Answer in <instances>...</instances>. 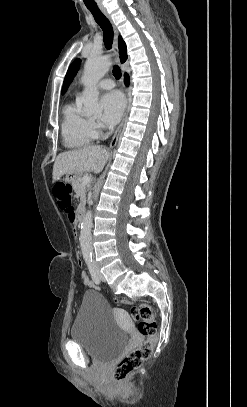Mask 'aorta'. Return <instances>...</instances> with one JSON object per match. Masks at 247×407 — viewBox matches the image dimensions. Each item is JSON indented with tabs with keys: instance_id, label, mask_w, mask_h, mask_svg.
Returning <instances> with one entry per match:
<instances>
[{
	"instance_id": "aorta-1",
	"label": "aorta",
	"mask_w": 247,
	"mask_h": 407,
	"mask_svg": "<svg viewBox=\"0 0 247 407\" xmlns=\"http://www.w3.org/2000/svg\"><path fill=\"white\" fill-rule=\"evenodd\" d=\"M111 66V60L108 56L97 57L90 56L84 66L82 82L85 86L80 102L83 104L85 115H96L102 111V106L98 101V90L96 84L104 77ZM91 228H92V211L89 210L81 223L80 246L84 256L91 254Z\"/></svg>"
}]
</instances>
